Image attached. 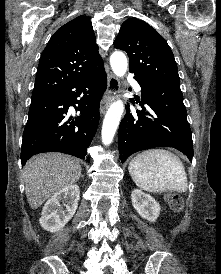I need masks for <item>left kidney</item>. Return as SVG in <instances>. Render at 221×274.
I'll return each mask as SVG.
<instances>
[{
	"instance_id": "obj_1",
	"label": "left kidney",
	"mask_w": 221,
	"mask_h": 274,
	"mask_svg": "<svg viewBox=\"0 0 221 274\" xmlns=\"http://www.w3.org/2000/svg\"><path fill=\"white\" fill-rule=\"evenodd\" d=\"M132 205L139 215L150 221L155 222L160 214V205L150 195L139 189H134L131 194Z\"/></svg>"
}]
</instances>
